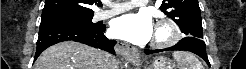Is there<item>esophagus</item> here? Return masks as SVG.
Wrapping results in <instances>:
<instances>
[{"label":"esophagus","instance_id":"obj_1","mask_svg":"<svg viewBox=\"0 0 246 69\" xmlns=\"http://www.w3.org/2000/svg\"><path fill=\"white\" fill-rule=\"evenodd\" d=\"M115 49L119 55L132 63H135L140 59V52L134 46L125 43H117Z\"/></svg>","mask_w":246,"mask_h":69}]
</instances>
